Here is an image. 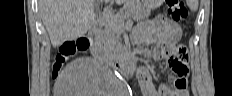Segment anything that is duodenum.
<instances>
[{
	"label": "duodenum",
	"instance_id": "410a0bca",
	"mask_svg": "<svg viewBox=\"0 0 232 96\" xmlns=\"http://www.w3.org/2000/svg\"><path fill=\"white\" fill-rule=\"evenodd\" d=\"M100 34V28L98 25L93 26L88 32V40L91 45L92 56L99 61H108L115 69H117L122 75H129L136 69L135 61L132 58L131 53L123 47H120L114 56L105 52L98 44L97 39Z\"/></svg>",
	"mask_w": 232,
	"mask_h": 96
}]
</instances>
